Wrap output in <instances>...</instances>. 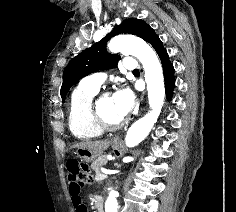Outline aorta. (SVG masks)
Returning <instances> with one entry per match:
<instances>
[{
	"label": "aorta",
	"mask_w": 236,
	"mask_h": 212,
	"mask_svg": "<svg viewBox=\"0 0 236 212\" xmlns=\"http://www.w3.org/2000/svg\"><path fill=\"white\" fill-rule=\"evenodd\" d=\"M113 53L121 52L135 56L143 65L151 110L138 119L127 131V147L138 145L150 133L161 112L164 97V78L159 59L153 49L142 39L132 35H117L108 45ZM105 212H118V193L110 189L105 202Z\"/></svg>",
	"instance_id": "aorta-1"
}]
</instances>
